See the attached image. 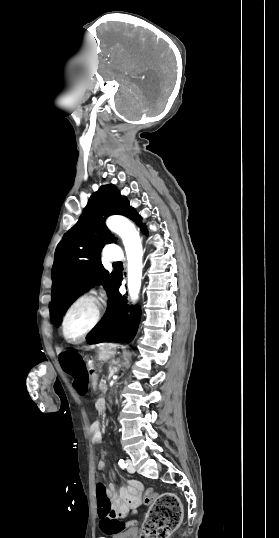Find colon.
I'll use <instances>...</instances> for the list:
<instances>
[{"mask_svg": "<svg viewBox=\"0 0 279 538\" xmlns=\"http://www.w3.org/2000/svg\"><path fill=\"white\" fill-rule=\"evenodd\" d=\"M96 499L99 515L111 516L112 503L108 489L102 482L96 484ZM146 502L152 505L143 525L142 538H168L181 521L182 505L179 498L174 493L167 492L157 496L152 490H148Z\"/></svg>", "mask_w": 279, "mask_h": 538, "instance_id": "colon-1", "label": "colon"}]
</instances>
